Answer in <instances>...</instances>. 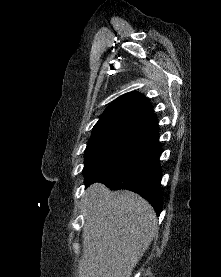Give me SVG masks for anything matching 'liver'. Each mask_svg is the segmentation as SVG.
<instances>
[{"label":"liver","instance_id":"liver-1","mask_svg":"<svg viewBox=\"0 0 221 277\" xmlns=\"http://www.w3.org/2000/svg\"><path fill=\"white\" fill-rule=\"evenodd\" d=\"M79 277H131L158 232L152 206L131 191L95 183L84 194Z\"/></svg>","mask_w":221,"mask_h":277}]
</instances>
